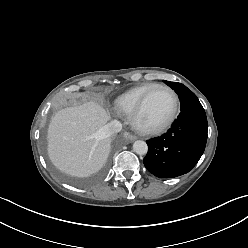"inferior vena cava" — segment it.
Wrapping results in <instances>:
<instances>
[{
  "label": "inferior vena cava",
  "mask_w": 248,
  "mask_h": 248,
  "mask_svg": "<svg viewBox=\"0 0 248 248\" xmlns=\"http://www.w3.org/2000/svg\"><path fill=\"white\" fill-rule=\"evenodd\" d=\"M104 130L106 135L110 137L122 130V124L117 120H112L104 127Z\"/></svg>",
  "instance_id": "602c4592"
}]
</instances>
